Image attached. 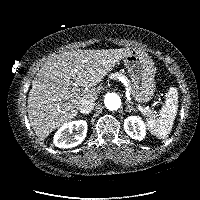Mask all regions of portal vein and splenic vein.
I'll return each instance as SVG.
<instances>
[{
	"label": "portal vein and splenic vein",
	"instance_id": "portal-vein-and-splenic-vein-1",
	"mask_svg": "<svg viewBox=\"0 0 200 200\" xmlns=\"http://www.w3.org/2000/svg\"><path fill=\"white\" fill-rule=\"evenodd\" d=\"M136 107H137L138 109H140L144 114H146L147 111H148V112L151 111L150 108H149L148 106L144 107V106L137 105Z\"/></svg>",
	"mask_w": 200,
	"mask_h": 200
}]
</instances>
